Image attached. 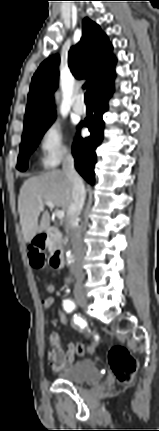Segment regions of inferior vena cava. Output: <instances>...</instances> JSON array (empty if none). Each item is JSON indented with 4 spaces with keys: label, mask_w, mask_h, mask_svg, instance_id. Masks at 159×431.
<instances>
[{
    "label": "inferior vena cava",
    "mask_w": 159,
    "mask_h": 431,
    "mask_svg": "<svg viewBox=\"0 0 159 431\" xmlns=\"http://www.w3.org/2000/svg\"><path fill=\"white\" fill-rule=\"evenodd\" d=\"M63 171L67 174L72 183V202L69 206V217L65 223V229L69 235L73 253L76 257L75 264L72 266V273L75 277V292L82 289L83 272L80 260L83 257L82 239L78 226V217L84 205L86 190L83 181L74 167V158L71 154L66 155L63 162Z\"/></svg>",
    "instance_id": "602c4592"
}]
</instances>
